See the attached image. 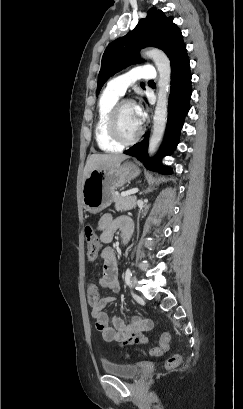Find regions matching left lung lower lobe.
I'll list each match as a JSON object with an SVG mask.
<instances>
[{"label":"left lung lower lobe","instance_id":"obj_1","mask_svg":"<svg viewBox=\"0 0 243 409\" xmlns=\"http://www.w3.org/2000/svg\"><path fill=\"white\" fill-rule=\"evenodd\" d=\"M170 62L172 73L168 104V121L159 158L171 154L176 148L185 116L190 108V98L192 93L191 72L185 44L180 48ZM147 149L148 135L143 141L135 144L124 153L135 156L150 170L159 171L163 174H171V170L164 168L160 164L159 159H148Z\"/></svg>","mask_w":243,"mask_h":409}]
</instances>
